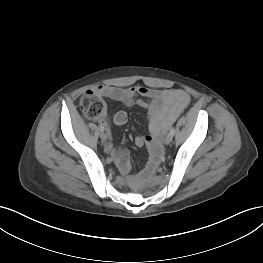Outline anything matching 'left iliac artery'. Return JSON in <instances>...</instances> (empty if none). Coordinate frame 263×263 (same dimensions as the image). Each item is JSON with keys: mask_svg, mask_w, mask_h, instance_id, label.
Returning <instances> with one entry per match:
<instances>
[{"mask_svg": "<svg viewBox=\"0 0 263 263\" xmlns=\"http://www.w3.org/2000/svg\"><path fill=\"white\" fill-rule=\"evenodd\" d=\"M170 134H171V135H174V134H175V129H174V127H172V128L170 129Z\"/></svg>", "mask_w": 263, "mask_h": 263, "instance_id": "1", "label": "left iliac artery"}]
</instances>
